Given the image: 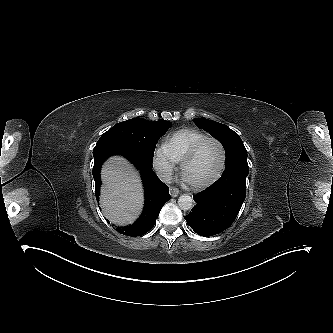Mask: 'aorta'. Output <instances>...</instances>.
<instances>
[{
  "instance_id": "762f6f07",
  "label": "aorta",
  "mask_w": 333,
  "mask_h": 333,
  "mask_svg": "<svg viewBox=\"0 0 333 333\" xmlns=\"http://www.w3.org/2000/svg\"><path fill=\"white\" fill-rule=\"evenodd\" d=\"M193 203V198L187 194L181 195L178 199V205L184 211L190 210L193 207Z\"/></svg>"
}]
</instances>
